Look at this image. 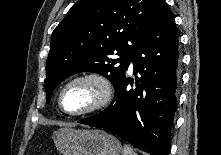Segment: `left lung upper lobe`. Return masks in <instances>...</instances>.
<instances>
[{
  "mask_svg": "<svg viewBox=\"0 0 221 155\" xmlns=\"http://www.w3.org/2000/svg\"><path fill=\"white\" fill-rule=\"evenodd\" d=\"M164 3L81 0L75 4L52 33L45 80L47 102L60 82L83 71L106 76L116 88L140 37Z\"/></svg>",
  "mask_w": 221,
  "mask_h": 155,
  "instance_id": "left-lung-upper-lobe-1",
  "label": "left lung upper lobe"
}]
</instances>
